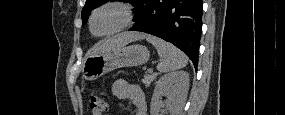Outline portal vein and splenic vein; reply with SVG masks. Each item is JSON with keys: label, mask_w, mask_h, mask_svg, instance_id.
Wrapping results in <instances>:
<instances>
[{"label": "portal vein and splenic vein", "mask_w": 285, "mask_h": 115, "mask_svg": "<svg viewBox=\"0 0 285 115\" xmlns=\"http://www.w3.org/2000/svg\"><path fill=\"white\" fill-rule=\"evenodd\" d=\"M149 72H150V73H151V72H153V69H152V68H150V69H149Z\"/></svg>", "instance_id": "obj_1"}]
</instances>
